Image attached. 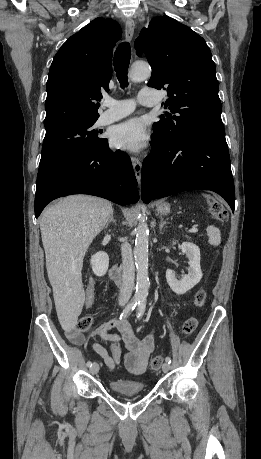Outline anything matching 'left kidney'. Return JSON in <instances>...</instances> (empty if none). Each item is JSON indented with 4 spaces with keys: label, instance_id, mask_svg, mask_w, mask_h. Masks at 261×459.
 Instances as JSON below:
<instances>
[{
    "label": "left kidney",
    "instance_id": "1",
    "mask_svg": "<svg viewBox=\"0 0 261 459\" xmlns=\"http://www.w3.org/2000/svg\"><path fill=\"white\" fill-rule=\"evenodd\" d=\"M176 244V242H173ZM182 253L186 254L189 259V272L181 280L175 277V273L171 269L166 271L167 283L171 290L178 295L185 294L198 284L202 278L200 267V249L191 242H183L180 246Z\"/></svg>",
    "mask_w": 261,
    "mask_h": 459
}]
</instances>
